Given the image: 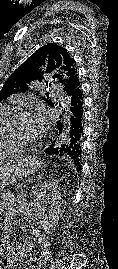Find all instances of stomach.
I'll return each mask as SVG.
<instances>
[{"instance_id": "1", "label": "stomach", "mask_w": 118, "mask_h": 269, "mask_svg": "<svg viewBox=\"0 0 118 269\" xmlns=\"http://www.w3.org/2000/svg\"><path fill=\"white\" fill-rule=\"evenodd\" d=\"M40 166L41 161L36 156L22 157L0 166V194L7 185L34 174Z\"/></svg>"}]
</instances>
